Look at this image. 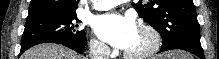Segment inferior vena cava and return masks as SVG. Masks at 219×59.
<instances>
[{
  "instance_id": "1",
  "label": "inferior vena cava",
  "mask_w": 219,
  "mask_h": 59,
  "mask_svg": "<svg viewBox=\"0 0 219 59\" xmlns=\"http://www.w3.org/2000/svg\"><path fill=\"white\" fill-rule=\"evenodd\" d=\"M109 48L103 43H95L90 46V59H108Z\"/></svg>"
}]
</instances>
